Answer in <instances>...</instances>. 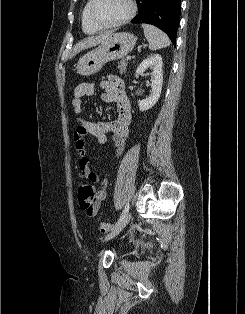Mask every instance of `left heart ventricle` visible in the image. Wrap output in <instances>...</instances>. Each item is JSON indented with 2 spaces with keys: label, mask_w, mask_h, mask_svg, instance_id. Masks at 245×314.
Segmentation results:
<instances>
[{
  "label": "left heart ventricle",
  "mask_w": 245,
  "mask_h": 314,
  "mask_svg": "<svg viewBox=\"0 0 245 314\" xmlns=\"http://www.w3.org/2000/svg\"><path fill=\"white\" fill-rule=\"evenodd\" d=\"M129 11L128 0H97L95 14L102 23H113Z\"/></svg>",
  "instance_id": "1"
}]
</instances>
